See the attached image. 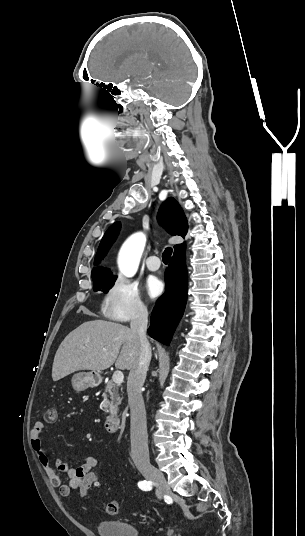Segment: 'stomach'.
Listing matches in <instances>:
<instances>
[{
    "label": "stomach",
    "mask_w": 305,
    "mask_h": 536,
    "mask_svg": "<svg viewBox=\"0 0 305 536\" xmlns=\"http://www.w3.org/2000/svg\"><path fill=\"white\" fill-rule=\"evenodd\" d=\"M72 386L77 392H84L87 388H94V386H99L102 382V378L93 374V372H79L75 374L72 380Z\"/></svg>",
    "instance_id": "stomach-1"
}]
</instances>
